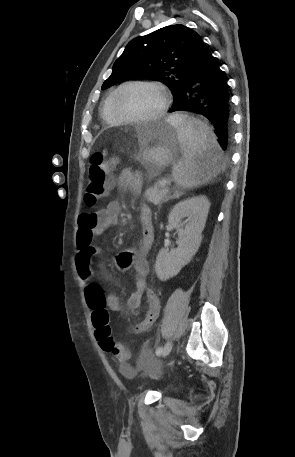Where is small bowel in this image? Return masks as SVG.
<instances>
[{
	"instance_id": "obj_1",
	"label": "small bowel",
	"mask_w": 295,
	"mask_h": 457,
	"mask_svg": "<svg viewBox=\"0 0 295 457\" xmlns=\"http://www.w3.org/2000/svg\"><path fill=\"white\" fill-rule=\"evenodd\" d=\"M118 185L122 191L139 194L142 188V180L139 174L130 169H124L118 177ZM119 215L120 205L116 201L110 202L107 206L95 212H85L79 215L78 251L75 258V267L79 279L85 285V291L90 284L95 283L92 261L99 254V248L93 245V239L95 236L102 234L108 227L117 225ZM139 218L142 224V236L139 246L119 252L114 258V265L121 271L131 268L134 271L135 287L129 297L128 306L136 309L139 307L142 297L146 296L147 298L148 310L146 317L132 327L134 332L144 333L151 328L159 316L160 300L146 281L149 270L146 257L154 241L152 214L147 205L142 204L139 207ZM86 299L88 303L87 293ZM101 299L110 310L114 312L121 311L120 300L115 294H104L101 291Z\"/></svg>"
}]
</instances>
